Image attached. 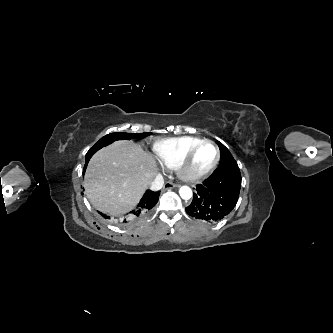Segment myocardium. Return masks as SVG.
<instances>
[{
  "mask_svg": "<svg viewBox=\"0 0 333 333\" xmlns=\"http://www.w3.org/2000/svg\"><path fill=\"white\" fill-rule=\"evenodd\" d=\"M209 144L212 145L216 149V159L215 161L206 169L200 171V172H192L190 171L189 167L191 164L192 159L194 158L197 151L204 145ZM221 158V153L218 145L213 142L212 140L203 139L199 143H197L195 146H193L181 159L179 164L176 167V171L178 176L186 181V182H194L198 181L207 175H209L219 164Z\"/></svg>",
  "mask_w": 333,
  "mask_h": 333,
  "instance_id": "myocardium-1",
  "label": "myocardium"
}]
</instances>
